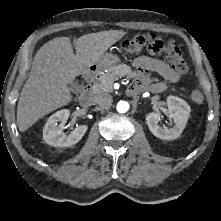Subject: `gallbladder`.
<instances>
[{"instance_id":"obj_1","label":"gallbladder","mask_w":221,"mask_h":221,"mask_svg":"<svg viewBox=\"0 0 221 221\" xmlns=\"http://www.w3.org/2000/svg\"><path fill=\"white\" fill-rule=\"evenodd\" d=\"M76 86H77V83H76V82H72V83L70 84V89H75Z\"/></svg>"}]
</instances>
